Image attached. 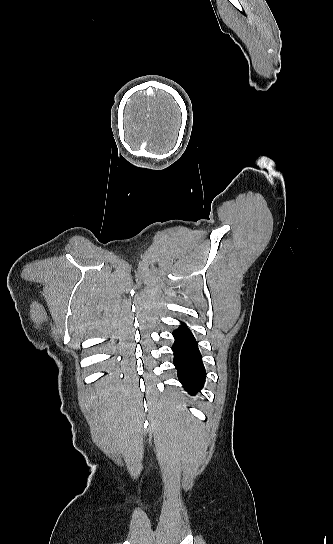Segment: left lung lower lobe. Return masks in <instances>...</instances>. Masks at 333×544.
Listing matches in <instances>:
<instances>
[{
  "instance_id": "left-lung-lower-lobe-1",
  "label": "left lung lower lobe",
  "mask_w": 333,
  "mask_h": 544,
  "mask_svg": "<svg viewBox=\"0 0 333 544\" xmlns=\"http://www.w3.org/2000/svg\"><path fill=\"white\" fill-rule=\"evenodd\" d=\"M172 334L175 338L172 346L173 363L176 366L179 381L186 391L194 395L203 387L206 377L197 342L184 323Z\"/></svg>"
}]
</instances>
